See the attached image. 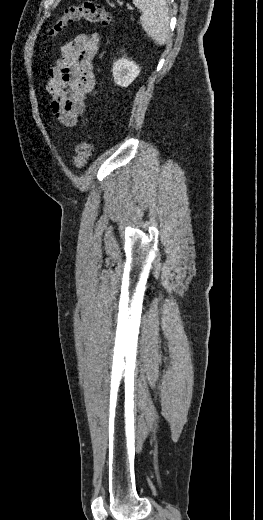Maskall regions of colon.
<instances>
[{
  "label": "colon",
  "mask_w": 263,
  "mask_h": 520,
  "mask_svg": "<svg viewBox=\"0 0 263 520\" xmlns=\"http://www.w3.org/2000/svg\"><path fill=\"white\" fill-rule=\"evenodd\" d=\"M85 20L91 24L102 26H112L114 24L113 16L100 4L87 1L79 6H70L60 14L51 26L48 36L54 37L64 30L68 25ZM93 153L92 144L84 140L76 147L75 155L72 158V164L76 168L86 166L89 158Z\"/></svg>",
  "instance_id": "obj_1"
}]
</instances>
